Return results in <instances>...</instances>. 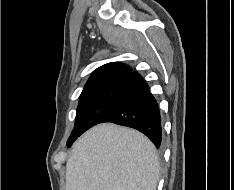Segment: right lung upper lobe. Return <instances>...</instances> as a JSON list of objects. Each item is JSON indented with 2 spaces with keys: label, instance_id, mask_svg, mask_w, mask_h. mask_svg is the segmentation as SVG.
<instances>
[{
  "label": "right lung upper lobe",
  "instance_id": "obj_1",
  "mask_svg": "<svg viewBox=\"0 0 234 190\" xmlns=\"http://www.w3.org/2000/svg\"><path fill=\"white\" fill-rule=\"evenodd\" d=\"M132 73V69L122 63H108L97 68L89 80L87 81L84 89L103 85L112 81L125 79ZM83 89V90H84Z\"/></svg>",
  "mask_w": 234,
  "mask_h": 190
}]
</instances>
